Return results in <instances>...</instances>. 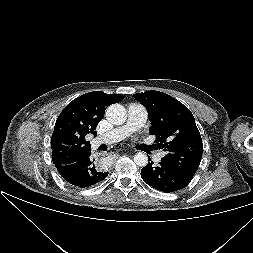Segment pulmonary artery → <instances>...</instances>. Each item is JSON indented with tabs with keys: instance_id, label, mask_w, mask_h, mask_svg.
Returning a JSON list of instances; mask_svg holds the SVG:
<instances>
[{
	"instance_id": "pulmonary-artery-1",
	"label": "pulmonary artery",
	"mask_w": 253,
	"mask_h": 253,
	"mask_svg": "<svg viewBox=\"0 0 253 253\" xmlns=\"http://www.w3.org/2000/svg\"><path fill=\"white\" fill-rule=\"evenodd\" d=\"M127 111L128 116L126 123L107 133L97 136L92 142L93 145L98 146L101 144H112L123 140L134 131L140 129L147 121L148 112L143 105L138 103H130ZM162 155L163 153L157 154L155 156V161L159 162Z\"/></svg>"
}]
</instances>
